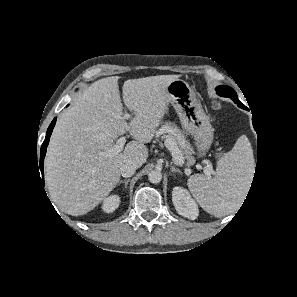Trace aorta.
Masks as SVG:
<instances>
[{
  "label": "aorta",
  "instance_id": "762f6f07",
  "mask_svg": "<svg viewBox=\"0 0 297 297\" xmlns=\"http://www.w3.org/2000/svg\"><path fill=\"white\" fill-rule=\"evenodd\" d=\"M148 180L151 183H160V181L162 180V173L159 170H153L151 172H149L148 174Z\"/></svg>",
  "mask_w": 297,
  "mask_h": 297
}]
</instances>
